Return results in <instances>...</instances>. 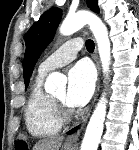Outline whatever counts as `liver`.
Returning a JSON list of instances; mask_svg holds the SVG:
<instances>
[{"label": "liver", "mask_w": 139, "mask_h": 150, "mask_svg": "<svg viewBox=\"0 0 139 150\" xmlns=\"http://www.w3.org/2000/svg\"><path fill=\"white\" fill-rule=\"evenodd\" d=\"M63 139L62 136L44 138L34 145L33 150H59Z\"/></svg>", "instance_id": "1"}]
</instances>
